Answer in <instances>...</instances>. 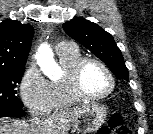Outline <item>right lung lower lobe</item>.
<instances>
[{"label":"right lung lower lobe","mask_w":153,"mask_h":134,"mask_svg":"<svg viewBox=\"0 0 153 134\" xmlns=\"http://www.w3.org/2000/svg\"><path fill=\"white\" fill-rule=\"evenodd\" d=\"M24 114L20 108L0 107V117H22Z\"/></svg>","instance_id":"98d812e1"}]
</instances>
